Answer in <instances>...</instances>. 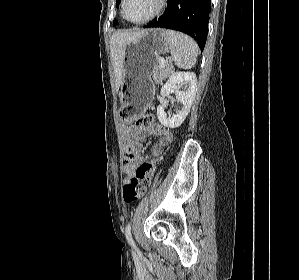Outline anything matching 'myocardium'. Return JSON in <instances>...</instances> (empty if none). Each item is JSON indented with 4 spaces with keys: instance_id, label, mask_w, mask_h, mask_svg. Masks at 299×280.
<instances>
[{
    "instance_id": "f54148a6",
    "label": "myocardium",
    "mask_w": 299,
    "mask_h": 280,
    "mask_svg": "<svg viewBox=\"0 0 299 280\" xmlns=\"http://www.w3.org/2000/svg\"><path fill=\"white\" fill-rule=\"evenodd\" d=\"M166 2H167V0H158V5H157V7H156V9L154 10L153 13H151L148 17H146L142 20L133 21V20H130L126 16L125 9H126L127 0H122V6H121L122 16L127 22H130L132 24H136V25L145 24V23L155 19L157 16H159L161 14L163 9L165 8Z\"/></svg>"
}]
</instances>
